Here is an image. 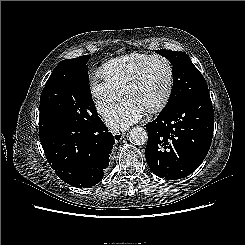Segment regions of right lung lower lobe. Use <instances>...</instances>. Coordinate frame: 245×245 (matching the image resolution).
Segmentation results:
<instances>
[{"mask_svg":"<svg viewBox=\"0 0 245 245\" xmlns=\"http://www.w3.org/2000/svg\"><path fill=\"white\" fill-rule=\"evenodd\" d=\"M39 138L57 176L78 188H88L102 180L115 143L99 116L87 127L40 121Z\"/></svg>","mask_w":245,"mask_h":245,"instance_id":"1","label":"right lung lower lobe"}]
</instances>
